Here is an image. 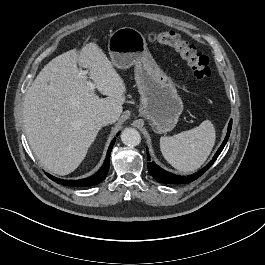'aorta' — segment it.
I'll use <instances>...</instances> for the list:
<instances>
[{
    "instance_id": "obj_1",
    "label": "aorta",
    "mask_w": 265,
    "mask_h": 265,
    "mask_svg": "<svg viewBox=\"0 0 265 265\" xmlns=\"http://www.w3.org/2000/svg\"><path fill=\"white\" fill-rule=\"evenodd\" d=\"M121 140L125 145L137 146L141 142V137L136 129L126 128L121 133Z\"/></svg>"
}]
</instances>
